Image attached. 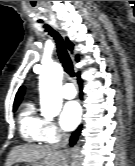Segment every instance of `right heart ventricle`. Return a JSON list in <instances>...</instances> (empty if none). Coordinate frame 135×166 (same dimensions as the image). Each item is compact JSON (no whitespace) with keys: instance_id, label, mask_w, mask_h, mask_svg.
<instances>
[{"instance_id":"e07e8e85","label":"right heart ventricle","mask_w":135,"mask_h":166,"mask_svg":"<svg viewBox=\"0 0 135 166\" xmlns=\"http://www.w3.org/2000/svg\"><path fill=\"white\" fill-rule=\"evenodd\" d=\"M19 131L27 143L39 144L44 141V120L36 113L33 102L28 101L22 107L19 118Z\"/></svg>"}]
</instances>
